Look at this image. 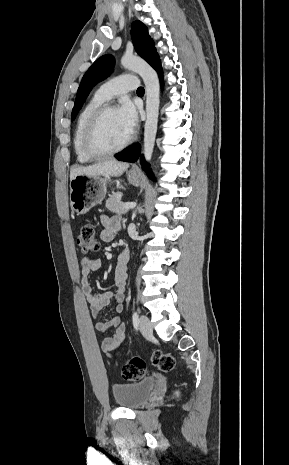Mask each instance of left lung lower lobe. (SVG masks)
I'll use <instances>...</instances> for the list:
<instances>
[{"label": "left lung lower lobe", "mask_w": 289, "mask_h": 465, "mask_svg": "<svg viewBox=\"0 0 289 465\" xmlns=\"http://www.w3.org/2000/svg\"><path fill=\"white\" fill-rule=\"evenodd\" d=\"M160 77L162 78V73L160 74ZM140 153V144H135L131 148L124 150L120 153H117L115 155V158H117L120 161H126V162H135L139 156ZM141 165L144 171H146L147 175L149 178L152 177V173L149 169V165L145 162L144 158H141Z\"/></svg>", "instance_id": "obj_1"}]
</instances>
